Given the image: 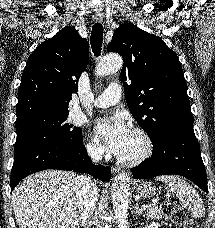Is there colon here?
<instances>
[{"instance_id": "1", "label": "colon", "mask_w": 215, "mask_h": 228, "mask_svg": "<svg viewBox=\"0 0 215 228\" xmlns=\"http://www.w3.org/2000/svg\"><path fill=\"white\" fill-rule=\"evenodd\" d=\"M161 211L171 226L176 228H198L195 221L188 217L177 203L166 200L161 204Z\"/></svg>"}]
</instances>
